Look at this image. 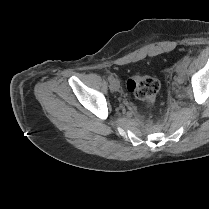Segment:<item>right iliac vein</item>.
<instances>
[{
	"mask_svg": "<svg viewBox=\"0 0 209 209\" xmlns=\"http://www.w3.org/2000/svg\"><path fill=\"white\" fill-rule=\"evenodd\" d=\"M120 87L119 81L114 79L110 82V89L111 91H118Z\"/></svg>",
	"mask_w": 209,
	"mask_h": 209,
	"instance_id": "obj_1",
	"label": "right iliac vein"
}]
</instances>
